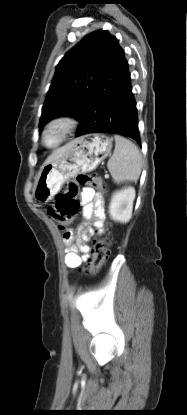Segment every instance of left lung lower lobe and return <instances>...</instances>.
<instances>
[{
  "label": "left lung lower lobe",
  "instance_id": "obj_1",
  "mask_svg": "<svg viewBox=\"0 0 187 415\" xmlns=\"http://www.w3.org/2000/svg\"><path fill=\"white\" fill-rule=\"evenodd\" d=\"M90 102L97 108L96 112L80 122L76 136L120 134L134 139L141 146L128 62L118 41L96 81Z\"/></svg>",
  "mask_w": 187,
  "mask_h": 415
}]
</instances>
